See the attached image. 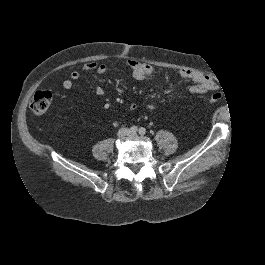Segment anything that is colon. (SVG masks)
<instances>
[{
    "label": "colon",
    "mask_w": 265,
    "mask_h": 265,
    "mask_svg": "<svg viewBox=\"0 0 265 265\" xmlns=\"http://www.w3.org/2000/svg\"><path fill=\"white\" fill-rule=\"evenodd\" d=\"M222 97H223L222 93L216 92L211 95L210 101L217 102L220 101ZM51 100H52V95L49 91L46 90L37 91L30 102V107L35 113L41 114L49 109Z\"/></svg>",
    "instance_id": "1"
}]
</instances>
